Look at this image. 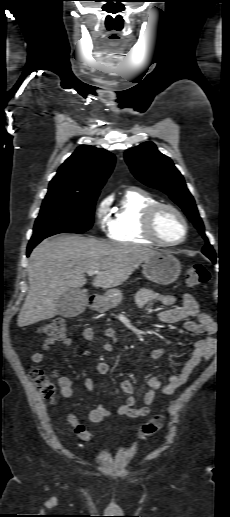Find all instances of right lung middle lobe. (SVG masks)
Here are the masks:
<instances>
[{
  "mask_svg": "<svg viewBox=\"0 0 230 517\" xmlns=\"http://www.w3.org/2000/svg\"><path fill=\"white\" fill-rule=\"evenodd\" d=\"M98 195L46 197L30 241L43 240L58 233H82L90 229Z\"/></svg>",
  "mask_w": 230,
  "mask_h": 517,
  "instance_id": "1",
  "label": "right lung middle lobe"
}]
</instances>
